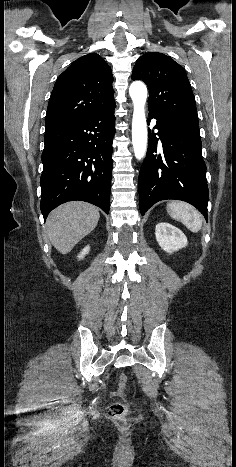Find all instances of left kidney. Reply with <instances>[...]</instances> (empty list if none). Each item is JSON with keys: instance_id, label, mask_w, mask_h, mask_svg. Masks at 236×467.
Here are the masks:
<instances>
[{"instance_id": "obj_1", "label": "left kidney", "mask_w": 236, "mask_h": 467, "mask_svg": "<svg viewBox=\"0 0 236 467\" xmlns=\"http://www.w3.org/2000/svg\"><path fill=\"white\" fill-rule=\"evenodd\" d=\"M156 240L160 247L167 253L178 251L187 246V238L184 233L175 226L161 222L155 228Z\"/></svg>"}]
</instances>
